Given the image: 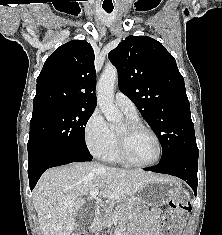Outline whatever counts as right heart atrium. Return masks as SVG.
Here are the masks:
<instances>
[{
  "label": "right heart atrium",
  "instance_id": "obj_1",
  "mask_svg": "<svg viewBox=\"0 0 222 235\" xmlns=\"http://www.w3.org/2000/svg\"><path fill=\"white\" fill-rule=\"evenodd\" d=\"M84 138L90 152L97 157L103 156L113 144L114 133L98 109L86 122Z\"/></svg>",
  "mask_w": 222,
  "mask_h": 235
}]
</instances>
